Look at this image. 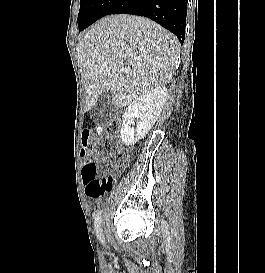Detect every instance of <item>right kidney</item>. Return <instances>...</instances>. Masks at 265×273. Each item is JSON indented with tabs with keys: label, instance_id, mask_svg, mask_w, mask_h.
<instances>
[{
	"label": "right kidney",
	"instance_id": "1",
	"mask_svg": "<svg viewBox=\"0 0 265 273\" xmlns=\"http://www.w3.org/2000/svg\"><path fill=\"white\" fill-rule=\"evenodd\" d=\"M167 88L155 87L133 101L123 114L121 139L126 146L139 142L151 130L166 103ZM137 119V128L132 129L134 119Z\"/></svg>",
	"mask_w": 265,
	"mask_h": 273
}]
</instances>
